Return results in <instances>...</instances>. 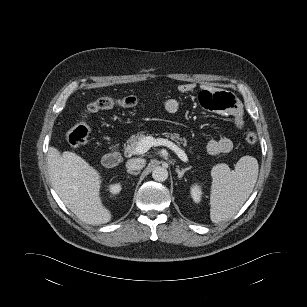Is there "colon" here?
I'll return each mask as SVG.
<instances>
[{"instance_id":"colon-1","label":"colon","mask_w":307,"mask_h":307,"mask_svg":"<svg viewBox=\"0 0 307 307\" xmlns=\"http://www.w3.org/2000/svg\"><path fill=\"white\" fill-rule=\"evenodd\" d=\"M138 104V99L134 96H125L121 98H113L110 96H100L91 101L86 107V113H94L102 110L113 108L114 106L133 107ZM89 127L86 123L80 122L73 126L68 134L67 140L72 147H80L87 143L89 138ZM258 136L255 131L249 130L245 134V142L249 146L257 143Z\"/></svg>"}]
</instances>
